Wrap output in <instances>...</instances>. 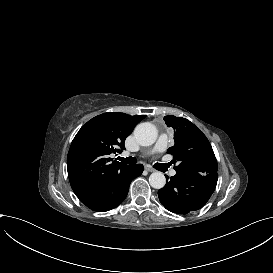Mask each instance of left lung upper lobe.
Listing matches in <instances>:
<instances>
[{
  "instance_id": "left-lung-upper-lobe-1",
  "label": "left lung upper lobe",
  "mask_w": 273,
  "mask_h": 273,
  "mask_svg": "<svg viewBox=\"0 0 273 273\" xmlns=\"http://www.w3.org/2000/svg\"><path fill=\"white\" fill-rule=\"evenodd\" d=\"M168 127L174 129V146L167 151L174 156L179 165L176 172L185 173H217L218 166L209 143L204 133L193 123L182 117L173 115L165 116ZM174 160V163L176 161Z\"/></svg>"
}]
</instances>
